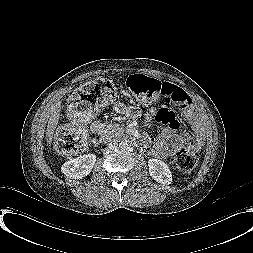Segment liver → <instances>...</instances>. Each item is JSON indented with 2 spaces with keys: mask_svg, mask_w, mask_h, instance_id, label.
I'll list each match as a JSON object with an SVG mask.
<instances>
[{
  "mask_svg": "<svg viewBox=\"0 0 253 253\" xmlns=\"http://www.w3.org/2000/svg\"><path fill=\"white\" fill-rule=\"evenodd\" d=\"M60 111H61L60 102H56L51 108L50 117L46 129V141L49 144L52 142L53 134L58 125Z\"/></svg>",
  "mask_w": 253,
  "mask_h": 253,
  "instance_id": "1",
  "label": "liver"
}]
</instances>
